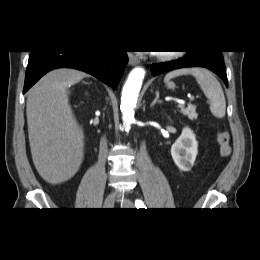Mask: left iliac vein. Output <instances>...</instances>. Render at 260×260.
I'll return each instance as SVG.
<instances>
[{
  "mask_svg": "<svg viewBox=\"0 0 260 260\" xmlns=\"http://www.w3.org/2000/svg\"><path fill=\"white\" fill-rule=\"evenodd\" d=\"M123 205L126 207V208H133L134 207V204L133 202L127 200L123 203Z\"/></svg>",
  "mask_w": 260,
  "mask_h": 260,
  "instance_id": "4c4485c4",
  "label": "left iliac vein"
}]
</instances>
